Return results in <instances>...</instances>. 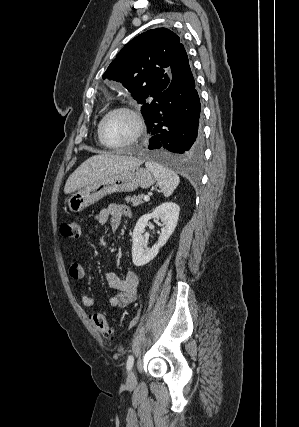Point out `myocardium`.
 Here are the masks:
<instances>
[{
    "instance_id": "1",
    "label": "myocardium",
    "mask_w": 299,
    "mask_h": 427,
    "mask_svg": "<svg viewBox=\"0 0 299 427\" xmlns=\"http://www.w3.org/2000/svg\"><path fill=\"white\" fill-rule=\"evenodd\" d=\"M117 112L126 113L132 118V120L134 121V124H135V133L131 137V139L128 140L127 142H125L123 144H119V145H112V144H108L104 141L103 136H102V127H103V124L106 121V119L110 115L117 113ZM144 131H145V122H144V119H143L142 115L140 114V112L132 106L120 105V106H117V107L110 109L101 118V120L98 124V128H97V135H98L99 142L101 143L102 146L109 148V149H123V148L129 147V146L133 145L134 143H136L139 140V138L144 134Z\"/></svg>"
}]
</instances>
